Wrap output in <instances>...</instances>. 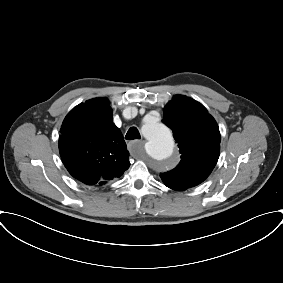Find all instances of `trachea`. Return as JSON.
<instances>
[{"mask_svg":"<svg viewBox=\"0 0 283 283\" xmlns=\"http://www.w3.org/2000/svg\"><path fill=\"white\" fill-rule=\"evenodd\" d=\"M140 138H141L140 133L136 127H131L125 136L126 140H134Z\"/></svg>","mask_w":283,"mask_h":283,"instance_id":"3493384b","label":"trachea"}]
</instances>
